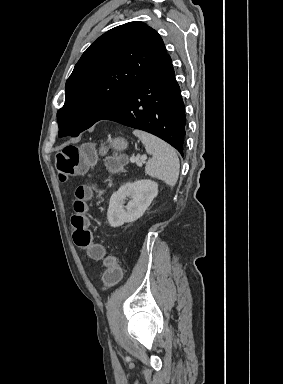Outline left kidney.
<instances>
[{
	"label": "left kidney",
	"mask_w": 283,
	"mask_h": 384,
	"mask_svg": "<svg viewBox=\"0 0 283 384\" xmlns=\"http://www.w3.org/2000/svg\"><path fill=\"white\" fill-rule=\"evenodd\" d=\"M158 194V184L152 180L128 182L112 194L107 212V220L112 228H118L128 222H136L152 204ZM131 198L127 206L124 200ZM126 208V210H124Z\"/></svg>",
	"instance_id": "1"
}]
</instances>
